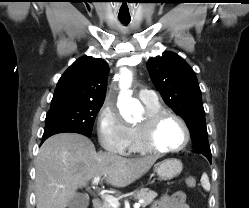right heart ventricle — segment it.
<instances>
[{"mask_svg": "<svg viewBox=\"0 0 249 208\" xmlns=\"http://www.w3.org/2000/svg\"><path fill=\"white\" fill-rule=\"evenodd\" d=\"M162 110L160 104L157 105H146L147 115L157 113ZM127 152L129 153H143L138 145L137 126L128 127V147Z\"/></svg>", "mask_w": 249, "mask_h": 208, "instance_id": "e07e8e85", "label": "right heart ventricle"}]
</instances>
